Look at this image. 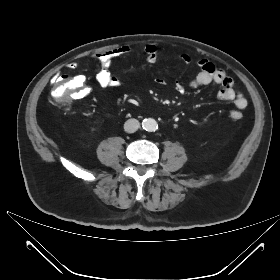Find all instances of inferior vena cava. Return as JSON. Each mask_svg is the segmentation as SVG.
<instances>
[{
    "instance_id": "1",
    "label": "inferior vena cava",
    "mask_w": 280,
    "mask_h": 280,
    "mask_svg": "<svg viewBox=\"0 0 280 280\" xmlns=\"http://www.w3.org/2000/svg\"><path fill=\"white\" fill-rule=\"evenodd\" d=\"M140 127V122L137 119H128L124 124V130L127 133H134Z\"/></svg>"
}]
</instances>
